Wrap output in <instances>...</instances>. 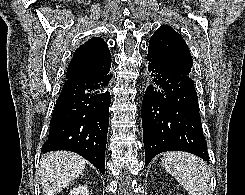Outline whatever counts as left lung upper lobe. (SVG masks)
Here are the masks:
<instances>
[{
	"label": "left lung upper lobe",
	"instance_id": "left-lung-upper-lobe-1",
	"mask_svg": "<svg viewBox=\"0 0 245 195\" xmlns=\"http://www.w3.org/2000/svg\"><path fill=\"white\" fill-rule=\"evenodd\" d=\"M147 58L174 75L190 76L193 59L189 48L181 35L170 26L163 25L152 35Z\"/></svg>",
	"mask_w": 245,
	"mask_h": 195
}]
</instances>
